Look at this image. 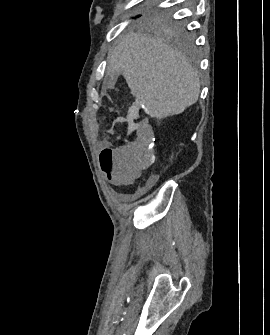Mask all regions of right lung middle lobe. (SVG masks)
<instances>
[{"mask_svg": "<svg viewBox=\"0 0 270 335\" xmlns=\"http://www.w3.org/2000/svg\"><path fill=\"white\" fill-rule=\"evenodd\" d=\"M172 14L169 8H161L157 6V3H149L143 9L142 14L135 18L141 17L142 21L164 30L168 36L182 46L190 44L192 36L187 33L183 23L173 19Z\"/></svg>", "mask_w": 270, "mask_h": 335, "instance_id": "1", "label": "right lung middle lobe"}]
</instances>
